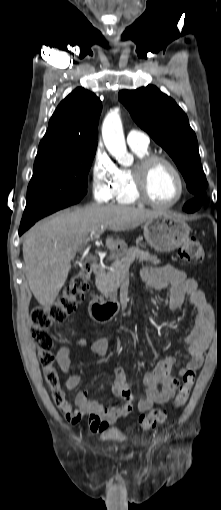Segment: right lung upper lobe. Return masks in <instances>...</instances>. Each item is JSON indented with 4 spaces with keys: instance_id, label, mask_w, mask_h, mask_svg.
<instances>
[{
    "instance_id": "1",
    "label": "right lung upper lobe",
    "mask_w": 221,
    "mask_h": 510,
    "mask_svg": "<svg viewBox=\"0 0 221 510\" xmlns=\"http://www.w3.org/2000/svg\"><path fill=\"white\" fill-rule=\"evenodd\" d=\"M100 99L78 87L57 107L39 144L36 158L97 147Z\"/></svg>"
}]
</instances>
